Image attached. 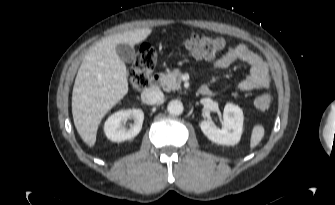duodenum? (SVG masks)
Masks as SVG:
<instances>
[{"label":"duodenum","mask_w":335,"mask_h":205,"mask_svg":"<svg viewBox=\"0 0 335 205\" xmlns=\"http://www.w3.org/2000/svg\"><path fill=\"white\" fill-rule=\"evenodd\" d=\"M159 82H160V75L158 73L153 74L150 79L151 86H157ZM198 92L204 96H209L212 94V90L207 86L200 87Z\"/></svg>","instance_id":"obj_1"}]
</instances>
